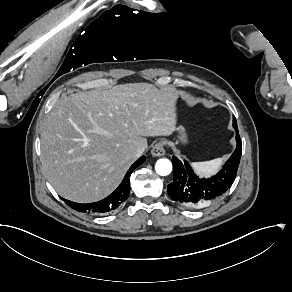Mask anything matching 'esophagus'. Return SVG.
Listing matches in <instances>:
<instances>
[{"mask_svg": "<svg viewBox=\"0 0 292 292\" xmlns=\"http://www.w3.org/2000/svg\"><path fill=\"white\" fill-rule=\"evenodd\" d=\"M151 154L154 157H160L165 155L164 143L162 141L157 142L151 149Z\"/></svg>", "mask_w": 292, "mask_h": 292, "instance_id": "obj_1", "label": "esophagus"}]
</instances>
